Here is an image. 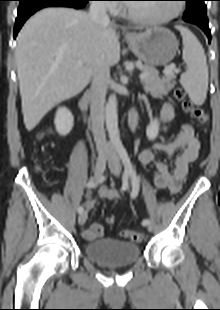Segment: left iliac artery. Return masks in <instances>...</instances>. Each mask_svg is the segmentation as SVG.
Segmentation results:
<instances>
[{
	"label": "left iliac artery",
	"mask_w": 220,
	"mask_h": 310,
	"mask_svg": "<svg viewBox=\"0 0 220 310\" xmlns=\"http://www.w3.org/2000/svg\"><path fill=\"white\" fill-rule=\"evenodd\" d=\"M117 151L124 165L125 173L131 177V181H132L131 197L135 199L139 192V182H140L139 178L136 175V172L132 166V163L130 161V158L128 156L126 149L123 146H120ZM148 223H149V219H144L142 221V225L144 226H146Z\"/></svg>",
	"instance_id": "1"
}]
</instances>
